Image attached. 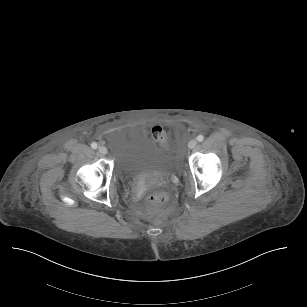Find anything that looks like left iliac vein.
<instances>
[{"instance_id": "obj_1", "label": "left iliac vein", "mask_w": 307, "mask_h": 307, "mask_svg": "<svg viewBox=\"0 0 307 307\" xmlns=\"http://www.w3.org/2000/svg\"><path fill=\"white\" fill-rule=\"evenodd\" d=\"M196 145H197V141H196L195 139H192V140L188 143V147H189L190 149L195 148Z\"/></svg>"}]
</instances>
